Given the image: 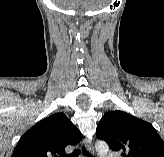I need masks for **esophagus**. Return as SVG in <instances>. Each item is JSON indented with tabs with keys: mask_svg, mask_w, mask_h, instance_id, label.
I'll return each instance as SVG.
<instances>
[{
	"mask_svg": "<svg viewBox=\"0 0 164 157\" xmlns=\"http://www.w3.org/2000/svg\"><path fill=\"white\" fill-rule=\"evenodd\" d=\"M84 144L87 150L89 151V153L94 157L95 151L92 142L89 141L88 139H85Z\"/></svg>",
	"mask_w": 164,
	"mask_h": 157,
	"instance_id": "34e87169",
	"label": "esophagus"
}]
</instances>
